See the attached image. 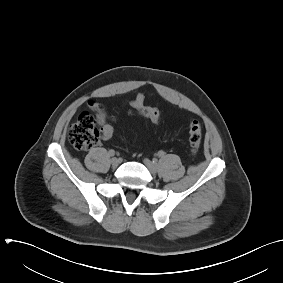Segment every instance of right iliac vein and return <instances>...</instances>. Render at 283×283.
Listing matches in <instances>:
<instances>
[{"mask_svg":"<svg viewBox=\"0 0 283 283\" xmlns=\"http://www.w3.org/2000/svg\"><path fill=\"white\" fill-rule=\"evenodd\" d=\"M119 164H120V160L118 158H112L111 159V165H112L113 168L118 167Z\"/></svg>","mask_w":283,"mask_h":283,"instance_id":"63e3f726","label":"right iliac vein"}]
</instances>
